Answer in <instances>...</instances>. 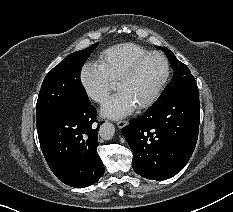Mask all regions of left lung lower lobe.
<instances>
[{"mask_svg":"<svg viewBox=\"0 0 233 212\" xmlns=\"http://www.w3.org/2000/svg\"><path fill=\"white\" fill-rule=\"evenodd\" d=\"M199 121L198 89L159 97L143 116L122 129L133 152L134 171L150 180L176 175L195 149Z\"/></svg>","mask_w":233,"mask_h":212,"instance_id":"obj_1","label":"left lung lower lobe"}]
</instances>
